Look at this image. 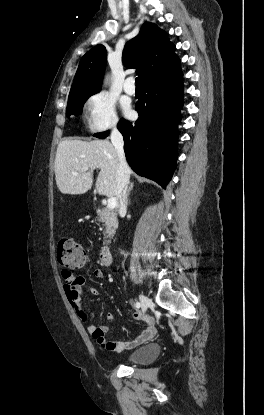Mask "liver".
Instances as JSON below:
<instances>
[{
  "label": "liver",
  "instance_id": "obj_1",
  "mask_svg": "<svg viewBox=\"0 0 264 415\" xmlns=\"http://www.w3.org/2000/svg\"><path fill=\"white\" fill-rule=\"evenodd\" d=\"M119 158L107 140H64L55 157V179L63 194H84L92 187L93 171L100 169L96 191L100 195H116ZM88 168L87 171L84 168ZM131 173V171H130Z\"/></svg>",
  "mask_w": 264,
  "mask_h": 415
}]
</instances>
